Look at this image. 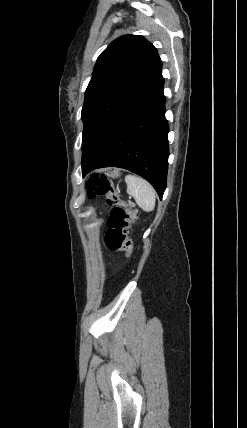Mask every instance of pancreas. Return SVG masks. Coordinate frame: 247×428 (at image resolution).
I'll return each mask as SVG.
<instances>
[{"label":"pancreas","instance_id":"obj_1","mask_svg":"<svg viewBox=\"0 0 247 428\" xmlns=\"http://www.w3.org/2000/svg\"><path fill=\"white\" fill-rule=\"evenodd\" d=\"M129 204H130L131 206H134V204H133L132 202H129Z\"/></svg>","mask_w":247,"mask_h":428}]
</instances>
